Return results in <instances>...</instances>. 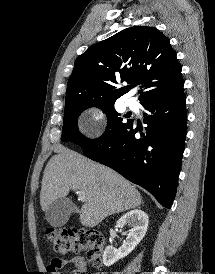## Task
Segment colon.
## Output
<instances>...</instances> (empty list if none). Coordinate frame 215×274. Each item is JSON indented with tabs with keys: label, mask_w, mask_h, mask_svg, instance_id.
<instances>
[{
	"label": "colon",
	"mask_w": 215,
	"mask_h": 274,
	"mask_svg": "<svg viewBox=\"0 0 215 274\" xmlns=\"http://www.w3.org/2000/svg\"><path fill=\"white\" fill-rule=\"evenodd\" d=\"M46 236L56 252L62 255L86 252L88 260L94 266L98 267L101 264L105 241L99 231L94 229L58 230L48 228Z\"/></svg>",
	"instance_id": "colon-1"
}]
</instances>
